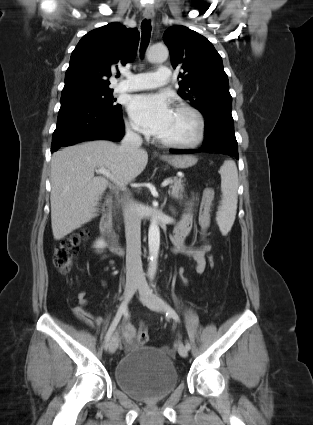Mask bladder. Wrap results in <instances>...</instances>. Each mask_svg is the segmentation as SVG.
<instances>
[{
	"label": "bladder",
	"instance_id": "bladder-1",
	"mask_svg": "<svg viewBox=\"0 0 313 425\" xmlns=\"http://www.w3.org/2000/svg\"><path fill=\"white\" fill-rule=\"evenodd\" d=\"M118 387L140 401L161 399L178 383V373L167 350L139 347L119 360L114 369Z\"/></svg>",
	"mask_w": 313,
	"mask_h": 425
}]
</instances>
